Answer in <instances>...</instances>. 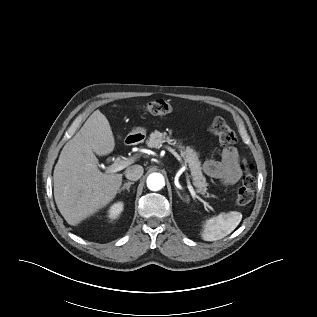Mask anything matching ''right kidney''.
<instances>
[{"label": "right kidney", "mask_w": 317, "mask_h": 317, "mask_svg": "<svg viewBox=\"0 0 317 317\" xmlns=\"http://www.w3.org/2000/svg\"><path fill=\"white\" fill-rule=\"evenodd\" d=\"M123 211V202H117L113 204L107 212V218L110 220H115L119 217Z\"/></svg>", "instance_id": "1"}]
</instances>
